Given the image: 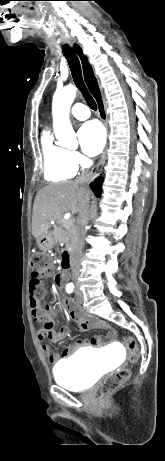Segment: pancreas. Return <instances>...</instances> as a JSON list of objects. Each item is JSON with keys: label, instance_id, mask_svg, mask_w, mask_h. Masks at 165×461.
Instances as JSON below:
<instances>
[{"label": "pancreas", "instance_id": "obj_1", "mask_svg": "<svg viewBox=\"0 0 165 461\" xmlns=\"http://www.w3.org/2000/svg\"><path fill=\"white\" fill-rule=\"evenodd\" d=\"M53 234L57 242H64L68 248L72 246L74 235L72 223L66 222L62 218L58 219Z\"/></svg>", "mask_w": 165, "mask_h": 461}]
</instances>
